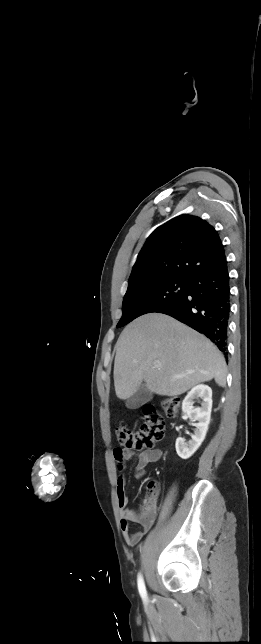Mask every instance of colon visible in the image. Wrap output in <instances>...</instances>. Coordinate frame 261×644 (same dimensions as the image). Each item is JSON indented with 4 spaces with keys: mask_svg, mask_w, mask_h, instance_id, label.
<instances>
[{
    "mask_svg": "<svg viewBox=\"0 0 261 644\" xmlns=\"http://www.w3.org/2000/svg\"><path fill=\"white\" fill-rule=\"evenodd\" d=\"M179 399L176 397H167L161 402V409L169 418L177 415ZM164 417L161 411L153 404H147L143 407V423L137 432H133L125 426L116 428V437L118 442L125 448L143 450L151 449L155 443L163 438L164 434ZM154 484H149V492L145 496L141 506L142 519H151L156 507V498L153 491Z\"/></svg>",
    "mask_w": 261,
    "mask_h": 644,
    "instance_id": "obj_1",
    "label": "colon"
}]
</instances>
